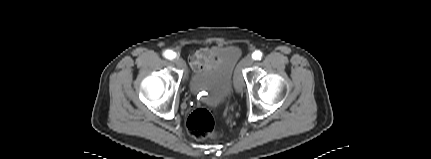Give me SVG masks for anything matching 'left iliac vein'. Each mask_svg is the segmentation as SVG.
<instances>
[{
  "label": "left iliac vein",
  "instance_id": "left-iliac-vein-1",
  "mask_svg": "<svg viewBox=\"0 0 431 159\" xmlns=\"http://www.w3.org/2000/svg\"><path fill=\"white\" fill-rule=\"evenodd\" d=\"M253 64V58L251 56H246L242 62L240 67H249ZM235 87L238 93H241L243 91L244 88V82L242 80V78L240 76H237L236 78V82H235Z\"/></svg>",
  "mask_w": 431,
  "mask_h": 159
}]
</instances>
